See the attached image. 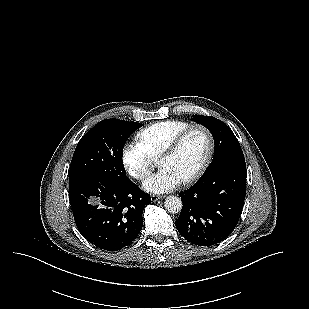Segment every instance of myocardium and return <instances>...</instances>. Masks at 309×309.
Segmentation results:
<instances>
[{
    "mask_svg": "<svg viewBox=\"0 0 309 309\" xmlns=\"http://www.w3.org/2000/svg\"><path fill=\"white\" fill-rule=\"evenodd\" d=\"M202 130L208 140V151L206 154V157L203 161V163L201 164V166L197 169L196 172H194L191 176H189L188 178L184 179L182 181L183 184L187 185V184H191L193 182H195L196 180H198L206 171V169L208 168V166L211 163L213 154H214V149H215V143H214V137L211 133V131L204 125L201 124H194L191 125L189 127H187L186 129H184L182 132H180L172 141L171 143L167 146V148L164 150V152L161 154L160 156V160L164 159V158H168L171 157L172 155H174L178 149L180 148L181 144L183 143V141L185 140V138L194 130Z\"/></svg>",
    "mask_w": 309,
    "mask_h": 309,
    "instance_id": "f54148a6",
    "label": "myocardium"
}]
</instances>
